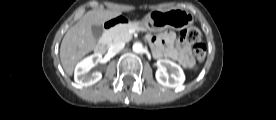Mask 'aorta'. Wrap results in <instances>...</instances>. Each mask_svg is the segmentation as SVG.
<instances>
[{
	"label": "aorta",
	"instance_id": "762f6f07",
	"mask_svg": "<svg viewBox=\"0 0 276 120\" xmlns=\"http://www.w3.org/2000/svg\"><path fill=\"white\" fill-rule=\"evenodd\" d=\"M132 49L135 53H142L144 50L143 45L139 42L134 43Z\"/></svg>",
	"mask_w": 276,
	"mask_h": 120
}]
</instances>
